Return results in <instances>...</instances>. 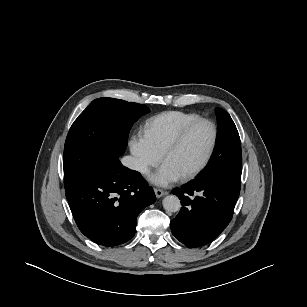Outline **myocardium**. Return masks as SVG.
<instances>
[{
	"instance_id": "f54148a6",
	"label": "myocardium",
	"mask_w": 307,
	"mask_h": 307,
	"mask_svg": "<svg viewBox=\"0 0 307 307\" xmlns=\"http://www.w3.org/2000/svg\"><path fill=\"white\" fill-rule=\"evenodd\" d=\"M200 124H208L211 129H212V140L210 143V146L207 150V153L205 155V157L203 158V160L201 161V163L191 172L183 175L181 178L184 181H188L191 180L193 178H195L196 176H198L208 165V163L210 162L212 155L215 151L216 145H217V141H218V128L216 126V124L211 121L210 119L207 118H199L196 119L190 123H188L186 126H184L179 133L175 136V138L171 141V143L167 146V148L165 149L164 153H163V161H165L167 159V157L172 154L181 144L182 142L185 140V138L187 137V135L198 125Z\"/></svg>"
}]
</instances>
